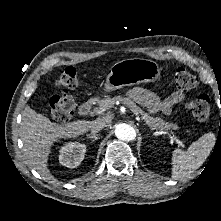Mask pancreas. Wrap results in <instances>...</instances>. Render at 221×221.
I'll return each mask as SVG.
<instances>
[{"label": "pancreas", "instance_id": "obj_1", "mask_svg": "<svg viewBox=\"0 0 221 221\" xmlns=\"http://www.w3.org/2000/svg\"><path fill=\"white\" fill-rule=\"evenodd\" d=\"M116 101H120L123 105L128 107L135 115L140 116V118L151 129L168 131V130L177 128L176 124L165 122L163 119L159 117L150 116L148 113L144 112L139 106H137L132 100L122 97V96H115L112 98L108 97V98L99 100L97 102L99 107L96 110H101L102 108H111L114 106Z\"/></svg>", "mask_w": 221, "mask_h": 221}]
</instances>
